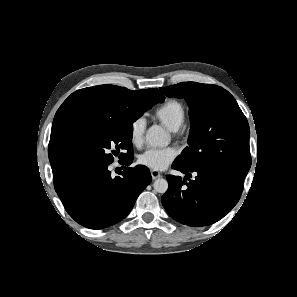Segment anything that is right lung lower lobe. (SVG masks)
Returning a JSON list of instances; mask_svg holds the SVG:
<instances>
[{
	"mask_svg": "<svg viewBox=\"0 0 297 297\" xmlns=\"http://www.w3.org/2000/svg\"><path fill=\"white\" fill-rule=\"evenodd\" d=\"M133 156L123 164L129 166ZM110 164L89 165L71 171L54 185L67 213L79 224L102 229L124 219L152 178L145 166H124L121 176L111 177Z\"/></svg>",
	"mask_w": 297,
	"mask_h": 297,
	"instance_id": "right-lung-lower-lobe-1",
	"label": "right lung lower lobe"
}]
</instances>
